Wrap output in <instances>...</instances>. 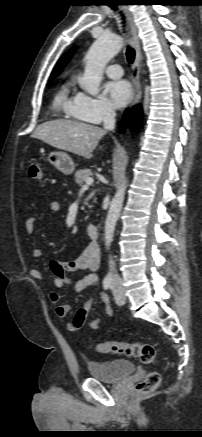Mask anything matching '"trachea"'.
<instances>
[{
	"label": "trachea",
	"mask_w": 202,
	"mask_h": 437,
	"mask_svg": "<svg viewBox=\"0 0 202 437\" xmlns=\"http://www.w3.org/2000/svg\"><path fill=\"white\" fill-rule=\"evenodd\" d=\"M110 7H111L113 10H116V9H117L115 5H111ZM122 19H124V17H123ZM123 24H124V21H123ZM126 57H127V61H128V63H130V64L133 63L134 58H135V51H134V49H133L132 47H130V46L127 47V50H126Z\"/></svg>",
	"instance_id": "1"
}]
</instances>
